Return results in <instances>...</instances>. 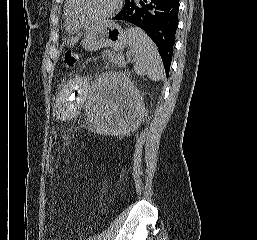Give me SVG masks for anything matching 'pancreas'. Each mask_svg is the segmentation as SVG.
<instances>
[{"instance_id":"pancreas-1","label":"pancreas","mask_w":257,"mask_h":240,"mask_svg":"<svg viewBox=\"0 0 257 240\" xmlns=\"http://www.w3.org/2000/svg\"><path fill=\"white\" fill-rule=\"evenodd\" d=\"M123 56L122 54H115L114 51H106L104 54V58H107V61L112 65L121 66V60H119V57Z\"/></svg>"}]
</instances>
